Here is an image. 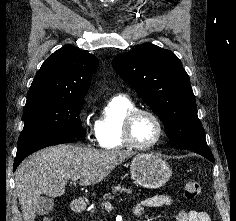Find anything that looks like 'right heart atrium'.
I'll use <instances>...</instances> for the list:
<instances>
[{"label": "right heart atrium", "instance_id": "obj_1", "mask_svg": "<svg viewBox=\"0 0 236 221\" xmlns=\"http://www.w3.org/2000/svg\"><path fill=\"white\" fill-rule=\"evenodd\" d=\"M88 138L91 140V141H94V140H97V134H96V124L92 127L90 126L88 128Z\"/></svg>", "mask_w": 236, "mask_h": 221}]
</instances>
